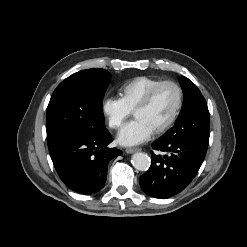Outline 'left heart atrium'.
Masks as SVG:
<instances>
[{"label":"left heart atrium","mask_w":247,"mask_h":247,"mask_svg":"<svg viewBox=\"0 0 247 247\" xmlns=\"http://www.w3.org/2000/svg\"><path fill=\"white\" fill-rule=\"evenodd\" d=\"M153 130L142 120L135 118L118 133V142L124 146L141 144L150 139Z\"/></svg>","instance_id":"1"}]
</instances>
